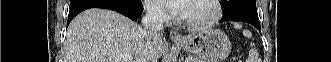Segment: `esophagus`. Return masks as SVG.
Here are the masks:
<instances>
[{
    "mask_svg": "<svg viewBox=\"0 0 331 62\" xmlns=\"http://www.w3.org/2000/svg\"><path fill=\"white\" fill-rule=\"evenodd\" d=\"M170 39L174 42H181L184 40L181 34L175 30L170 31Z\"/></svg>",
    "mask_w": 331,
    "mask_h": 62,
    "instance_id": "1",
    "label": "esophagus"
}]
</instances>
